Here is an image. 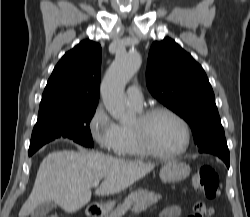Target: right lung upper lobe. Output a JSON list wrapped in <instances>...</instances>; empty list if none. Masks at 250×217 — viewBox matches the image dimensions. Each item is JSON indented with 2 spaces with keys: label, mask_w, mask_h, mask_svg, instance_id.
Masks as SVG:
<instances>
[{
  "label": "right lung upper lobe",
  "mask_w": 250,
  "mask_h": 217,
  "mask_svg": "<svg viewBox=\"0 0 250 217\" xmlns=\"http://www.w3.org/2000/svg\"><path fill=\"white\" fill-rule=\"evenodd\" d=\"M101 46L84 40L55 66L40 103L39 114L98 104Z\"/></svg>",
  "instance_id": "1"
}]
</instances>
